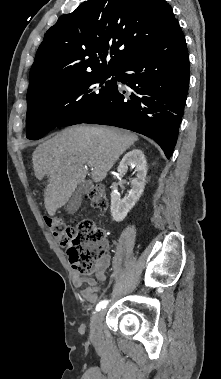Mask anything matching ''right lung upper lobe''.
<instances>
[{
	"instance_id": "right-lung-upper-lobe-1",
	"label": "right lung upper lobe",
	"mask_w": 221,
	"mask_h": 379,
	"mask_svg": "<svg viewBox=\"0 0 221 379\" xmlns=\"http://www.w3.org/2000/svg\"><path fill=\"white\" fill-rule=\"evenodd\" d=\"M178 27L165 0L85 1L46 32L30 71L27 102L53 84L117 69Z\"/></svg>"
}]
</instances>
